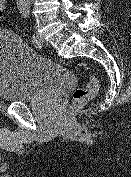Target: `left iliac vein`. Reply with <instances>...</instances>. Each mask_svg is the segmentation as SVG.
I'll return each mask as SVG.
<instances>
[{
    "label": "left iliac vein",
    "mask_w": 131,
    "mask_h": 177,
    "mask_svg": "<svg viewBox=\"0 0 131 177\" xmlns=\"http://www.w3.org/2000/svg\"><path fill=\"white\" fill-rule=\"evenodd\" d=\"M36 37H37V39H38V44H37V46H38V47H42V45H43V43H44V40H43L42 36H41L40 34L36 33Z\"/></svg>",
    "instance_id": "4c4485c4"
}]
</instances>
